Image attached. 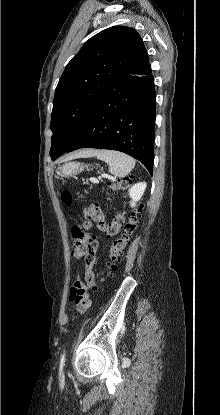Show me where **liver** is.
<instances>
[{"instance_id":"1","label":"liver","mask_w":220,"mask_h":415,"mask_svg":"<svg viewBox=\"0 0 220 415\" xmlns=\"http://www.w3.org/2000/svg\"><path fill=\"white\" fill-rule=\"evenodd\" d=\"M95 153H96V151H94V150H87V151H84V152H80L78 155L90 157V156H94Z\"/></svg>"}]
</instances>
